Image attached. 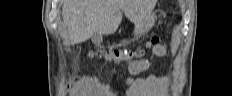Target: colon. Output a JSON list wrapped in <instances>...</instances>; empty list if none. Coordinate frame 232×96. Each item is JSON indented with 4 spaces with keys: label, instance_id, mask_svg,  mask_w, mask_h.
<instances>
[{
    "label": "colon",
    "instance_id": "obj_1",
    "mask_svg": "<svg viewBox=\"0 0 232 96\" xmlns=\"http://www.w3.org/2000/svg\"><path fill=\"white\" fill-rule=\"evenodd\" d=\"M152 42H153L154 44H157V43H158V38H156V37L153 38ZM156 52H157L159 55H161V54H163L164 51H163V49H162L161 47H157V48H156ZM111 54H112L114 57L123 56V54L120 53V52H118V51H112Z\"/></svg>",
    "mask_w": 232,
    "mask_h": 96
}]
</instances>
